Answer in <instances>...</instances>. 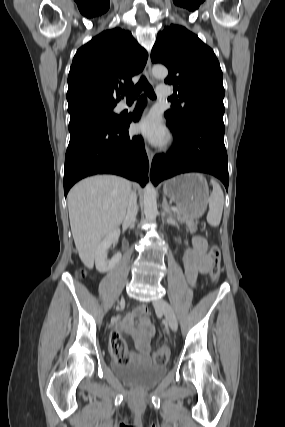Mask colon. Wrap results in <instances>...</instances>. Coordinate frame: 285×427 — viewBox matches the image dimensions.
Returning <instances> with one entry per match:
<instances>
[{"mask_svg": "<svg viewBox=\"0 0 285 427\" xmlns=\"http://www.w3.org/2000/svg\"><path fill=\"white\" fill-rule=\"evenodd\" d=\"M209 256L211 258L210 266V278L213 282H217L221 274V251L219 246L213 245L209 250ZM80 276L84 275L83 271L79 272ZM111 354L120 362H124L128 358V348L119 335L111 336L110 340ZM169 352L166 347L159 346L153 353V362L156 365H165L168 360Z\"/></svg>", "mask_w": 285, "mask_h": 427, "instance_id": "5ec220e1", "label": "colon"}]
</instances>
